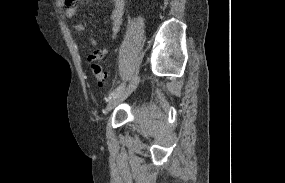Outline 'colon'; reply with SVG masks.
Listing matches in <instances>:
<instances>
[{"label":"colon","mask_w":285,"mask_h":183,"mask_svg":"<svg viewBox=\"0 0 285 183\" xmlns=\"http://www.w3.org/2000/svg\"><path fill=\"white\" fill-rule=\"evenodd\" d=\"M72 1L73 0H66V2L68 4L71 3ZM90 66H91V70H92L93 76H94L97 84L100 87L105 86L107 83V76H106L105 72L103 71L102 67L97 63H91Z\"/></svg>","instance_id":"5ec220e1"}]
</instances>
